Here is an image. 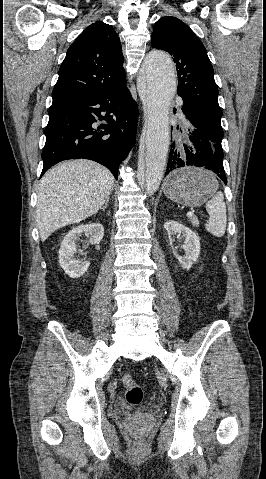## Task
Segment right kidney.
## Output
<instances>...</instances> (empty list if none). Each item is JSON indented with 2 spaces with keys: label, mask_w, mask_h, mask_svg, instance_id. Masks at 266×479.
<instances>
[{
  "label": "right kidney",
  "mask_w": 266,
  "mask_h": 479,
  "mask_svg": "<svg viewBox=\"0 0 266 479\" xmlns=\"http://www.w3.org/2000/svg\"><path fill=\"white\" fill-rule=\"evenodd\" d=\"M90 236L91 244H99L104 236V228L100 223H90L73 228L63 239L59 249V264L71 278H79L88 270L90 262L74 259L77 251L75 241L82 234Z\"/></svg>",
  "instance_id": "obj_1"
}]
</instances>
